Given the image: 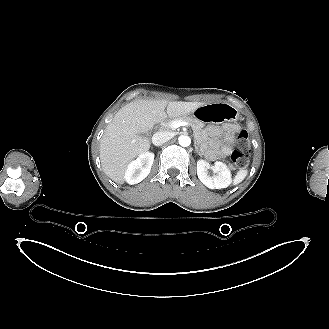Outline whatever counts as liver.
<instances>
[{"label": "liver", "mask_w": 329, "mask_h": 329, "mask_svg": "<svg viewBox=\"0 0 329 329\" xmlns=\"http://www.w3.org/2000/svg\"><path fill=\"white\" fill-rule=\"evenodd\" d=\"M203 105V102L137 100L122 107L100 140L104 173L116 183L123 184L129 163L150 148V141L141 134L167 117L187 116Z\"/></svg>", "instance_id": "1"}]
</instances>
